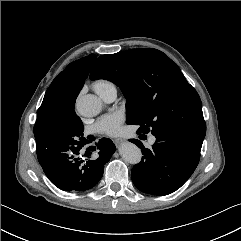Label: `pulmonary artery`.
<instances>
[{
	"instance_id": "pulmonary-artery-1",
	"label": "pulmonary artery",
	"mask_w": 241,
	"mask_h": 241,
	"mask_svg": "<svg viewBox=\"0 0 241 241\" xmlns=\"http://www.w3.org/2000/svg\"><path fill=\"white\" fill-rule=\"evenodd\" d=\"M116 96H117L116 88H111L107 92H105L101 97L107 102H112L115 100ZM149 142L153 144L155 142V137H151Z\"/></svg>"
}]
</instances>
